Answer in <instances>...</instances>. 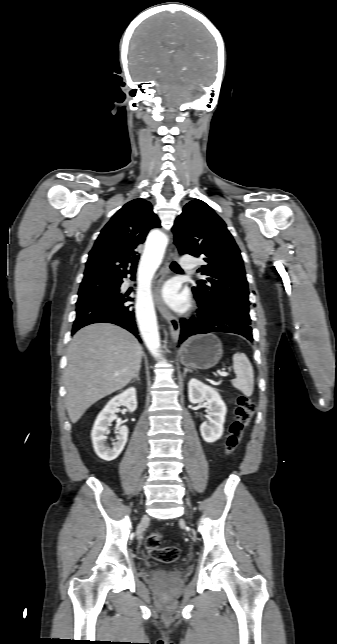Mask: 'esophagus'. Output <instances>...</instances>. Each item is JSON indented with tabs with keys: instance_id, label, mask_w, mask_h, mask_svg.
<instances>
[{
	"instance_id": "obj_1",
	"label": "esophagus",
	"mask_w": 337,
	"mask_h": 644,
	"mask_svg": "<svg viewBox=\"0 0 337 644\" xmlns=\"http://www.w3.org/2000/svg\"><path fill=\"white\" fill-rule=\"evenodd\" d=\"M177 259V253L173 252L169 255L165 267L162 268L160 273L157 276L155 287H154V299L156 306L161 313V315L166 319L169 324L170 334L174 341L178 340L180 334V324L178 319L172 314V312L165 306L162 296H161V287L165 278L169 273V264Z\"/></svg>"
}]
</instances>
